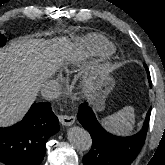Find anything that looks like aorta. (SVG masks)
<instances>
[{
	"instance_id": "1",
	"label": "aorta",
	"mask_w": 165,
	"mask_h": 165,
	"mask_svg": "<svg viewBox=\"0 0 165 165\" xmlns=\"http://www.w3.org/2000/svg\"><path fill=\"white\" fill-rule=\"evenodd\" d=\"M68 140L75 149L87 151L91 148L92 138L87 130L81 127H71L68 130Z\"/></svg>"
}]
</instances>
